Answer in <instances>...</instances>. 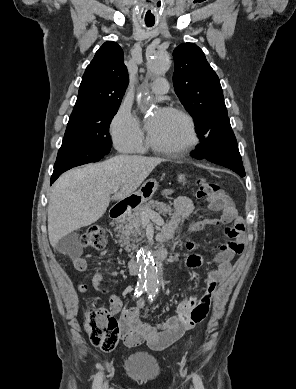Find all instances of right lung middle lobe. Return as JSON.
I'll list each match as a JSON object with an SVG mask.
<instances>
[{"mask_svg":"<svg viewBox=\"0 0 296 389\" xmlns=\"http://www.w3.org/2000/svg\"><path fill=\"white\" fill-rule=\"evenodd\" d=\"M119 106L100 108L69 120L54 170L70 169L97 162L109 153V125Z\"/></svg>","mask_w":296,"mask_h":389,"instance_id":"right-lung-middle-lobe-1","label":"right lung middle lobe"}]
</instances>
